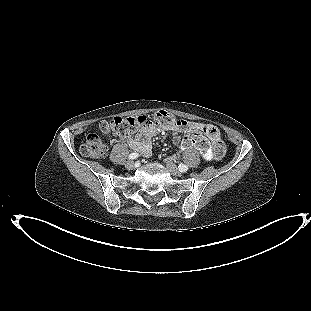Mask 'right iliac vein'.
<instances>
[{
  "label": "right iliac vein",
  "mask_w": 311,
  "mask_h": 311,
  "mask_svg": "<svg viewBox=\"0 0 311 311\" xmlns=\"http://www.w3.org/2000/svg\"><path fill=\"white\" fill-rule=\"evenodd\" d=\"M134 166H135V163H134V161H132V160H129V161H127V162L125 163V167H126L127 169H132V168H134Z\"/></svg>",
  "instance_id": "63e3f726"
}]
</instances>
